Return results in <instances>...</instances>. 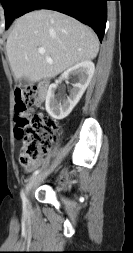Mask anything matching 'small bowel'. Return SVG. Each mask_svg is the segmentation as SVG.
<instances>
[{"mask_svg": "<svg viewBox=\"0 0 133 253\" xmlns=\"http://www.w3.org/2000/svg\"><path fill=\"white\" fill-rule=\"evenodd\" d=\"M42 160L39 159L35 164L29 166V167H26V170L28 172L32 171L33 169H35L37 166H39L41 164ZM63 180H65L67 178V174H63L62 177H61Z\"/></svg>", "mask_w": 133, "mask_h": 253, "instance_id": "c3829d8e", "label": "small bowel"}]
</instances>
